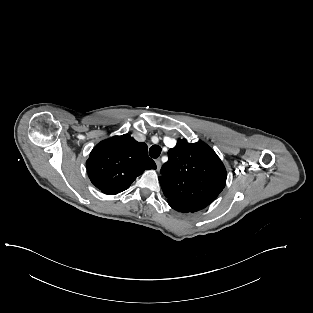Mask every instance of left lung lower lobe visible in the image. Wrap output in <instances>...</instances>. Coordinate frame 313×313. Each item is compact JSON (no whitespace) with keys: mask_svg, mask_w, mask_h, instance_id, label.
I'll use <instances>...</instances> for the list:
<instances>
[{"mask_svg":"<svg viewBox=\"0 0 313 313\" xmlns=\"http://www.w3.org/2000/svg\"><path fill=\"white\" fill-rule=\"evenodd\" d=\"M173 209H175L176 211H179V212H183V213H187L188 211L187 210H185V209H183V208H181V207H175V206H172V205H170Z\"/></svg>","mask_w":313,"mask_h":313,"instance_id":"0a47b994","label":"left lung lower lobe"}]
</instances>
